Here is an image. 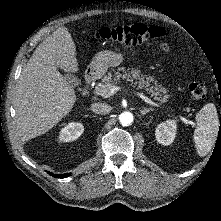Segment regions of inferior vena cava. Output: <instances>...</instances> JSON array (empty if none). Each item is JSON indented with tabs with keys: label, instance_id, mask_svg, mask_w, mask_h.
<instances>
[{
	"label": "inferior vena cava",
	"instance_id": "inferior-vena-cava-1",
	"mask_svg": "<svg viewBox=\"0 0 221 221\" xmlns=\"http://www.w3.org/2000/svg\"><path fill=\"white\" fill-rule=\"evenodd\" d=\"M111 110V107L108 104L105 103H93L91 105V111L95 114L104 115L109 113Z\"/></svg>",
	"mask_w": 221,
	"mask_h": 221
}]
</instances>
